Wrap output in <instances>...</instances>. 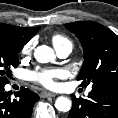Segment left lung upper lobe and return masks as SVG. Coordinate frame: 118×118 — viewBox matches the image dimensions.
<instances>
[{"instance_id":"left-lung-upper-lobe-1","label":"left lung upper lobe","mask_w":118,"mask_h":118,"mask_svg":"<svg viewBox=\"0 0 118 118\" xmlns=\"http://www.w3.org/2000/svg\"><path fill=\"white\" fill-rule=\"evenodd\" d=\"M81 41L84 63L77 77L82 87L118 89V36L105 26L89 21L65 25Z\"/></svg>"}]
</instances>
